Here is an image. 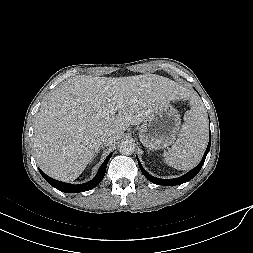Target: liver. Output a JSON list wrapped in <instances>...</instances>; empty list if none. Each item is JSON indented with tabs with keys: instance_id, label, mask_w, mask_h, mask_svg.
<instances>
[{
	"instance_id": "liver-1",
	"label": "liver",
	"mask_w": 253,
	"mask_h": 253,
	"mask_svg": "<svg viewBox=\"0 0 253 253\" xmlns=\"http://www.w3.org/2000/svg\"><path fill=\"white\" fill-rule=\"evenodd\" d=\"M185 95L182 86L156 74L73 77L54 90L38 112L33 139L37 163L47 175L73 181L96 156L101 132L117 140L160 105ZM119 99L123 104L118 114H110Z\"/></svg>"
}]
</instances>
